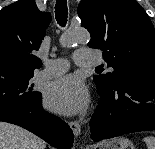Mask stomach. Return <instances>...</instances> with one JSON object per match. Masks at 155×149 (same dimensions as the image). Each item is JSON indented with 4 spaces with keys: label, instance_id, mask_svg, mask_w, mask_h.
<instances>
[{
    "label": "stomach",
    "instance_id": "1",
    "mask_svg": "<svg viewBox=\"0 0 155 149\" xmlns=\"http://www.w3.org/2000/svg\"><path fill=\"white\" fill-rule=\"evenodd\" d=\"M101 149H135V147L126 137H117L104 142Z\"/></svg>",
    "mask_w": 155,
    "mask_h": 149
}]
</instances>
